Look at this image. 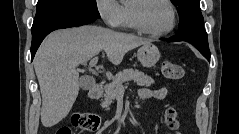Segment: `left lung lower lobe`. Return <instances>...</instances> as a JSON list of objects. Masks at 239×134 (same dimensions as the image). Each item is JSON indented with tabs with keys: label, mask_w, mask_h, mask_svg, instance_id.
<instances>
[{
	"label": "left lung lower lobe",
	"mask_w": 239,
	"mask_h": 134,
	"mask_svg": "<svg viewBox=\"0 0 239 134\" xmlns=\"http://www.w3.org/2000/svg\"><path fill=\"white\" fill-rule=\"evenodd\" d=\"M167 42L186 41L194 45L200 53L210 61V51L208 46L207 34L183 33L171 39H163Z\"/></svg>",
	"instance_id": "0a47b994"
}]
</instances>
